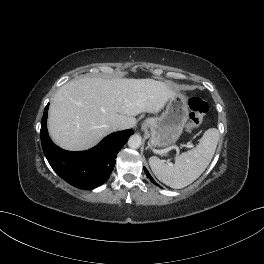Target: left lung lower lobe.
<instances>
[{
	"label": "left lung lower lobe",
	"mask_w": 264,
	"mask_h": 264,
	"mask_svg": "<svg viewBox=\"0 0 264 264\" xmlns=\"http://www.w3.org/2000/svg\"><path fill=\"white\" fill-rule=\"evenodd\" d=\"M144 171L146 173V175L148 176V178L151 180V182H153L155 185H157V183L154 181V179L150 176L149 172L147 171L146 168H144Z\"/></svg>",
	"instance_id": "obj_1"
}]
</instances>
